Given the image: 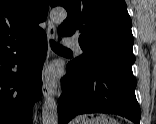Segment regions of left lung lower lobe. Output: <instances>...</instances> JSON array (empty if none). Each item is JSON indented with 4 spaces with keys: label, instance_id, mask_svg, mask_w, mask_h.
Instances as JSON below:
<instances>
[{
    "label": "left lung lower lobe",
    "instance_id": "0a47b994",
    "mask_svg": "<svg viewBox=\"0 0 156 124\" xmlns=\"http://www.w3.org/2000/svg\"><path fill=\"white\" fill-rule=\"evenodd\" d=\"M62 85L70 91L58 104V124L88 113H111L140 124L141 110L135 96L136 79L123 68L103 64L89 72L67 65Z\"/></svg>",
    "mask_w": 156,
    "mask_h": 124
}]
</instances>
